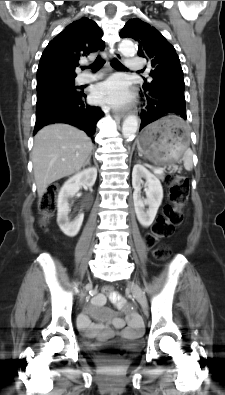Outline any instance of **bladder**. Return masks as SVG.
Returning <instances> with one entry per match:
<instances>
[{
    "instance_id": "31cf9c89",
    "label": "bladder",
    "mask_w": 225,
    "mask_h": 395,
    "mask_svg": "<svg viewBox=\"0 0 225 395\" xmlns=\"http://www.w3.org/2000/svg\"><path fill=\"white\" fill-rule=\"evenodd\" d=\"M138 347V341H133L129 344V348L134 350Z\"/></svg>"
}]
</instances>
